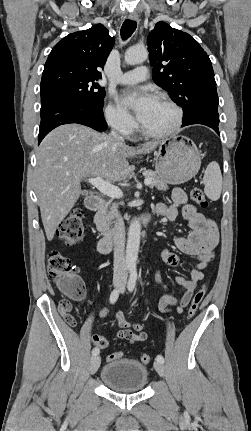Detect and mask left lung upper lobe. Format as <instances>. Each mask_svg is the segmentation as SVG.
<instances>
[{"label": "left lung upper lobe", "mask_w": 251, "mask_h": 431, "mask_svg": "<svg viewBox=\"0 0 251 431\" xmlns=\"http://www.w3.org/2000/svg\"><path fill=\"white\" fill-rule=\"evenodd\" d=\"M147 45L153 80L182 107L183 122L202 114L218 115L212 64L192 36L161 21L149 33Z\"/></svg>", "instance_id": "5c2ea615"}]
</instances>
